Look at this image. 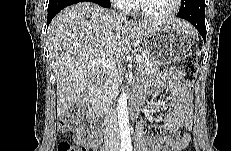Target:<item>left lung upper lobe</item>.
<instances>
[{"label":"left lung upper lobe","instance_id":"left-lung-upper-lobe-1","mask_svg":"<svg viewBox=\"0 0 231 151\" xmlns=\"http://www.w3.org/2000/svg\"><path fill=\"white\" fill-rule=\"evenodd\" d=\"M190 0H181V8H183Z\"/></svg>","mask_w":231,"mask_h":151}]
</instances>
